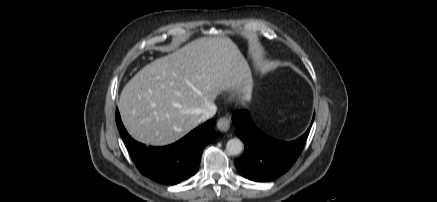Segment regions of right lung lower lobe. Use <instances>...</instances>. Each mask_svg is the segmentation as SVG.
Masks as SVG:
<instances>
[{
  "label": "right lung lower lobe",
  "instance_id": "obj_1",
  "mask_svg": "<svg viewBox=\"0 0 437 202\" xmlns=\"http://www.w3.org/2000/svg\"><path fill=\"white\" fill-rule=\"evenodd\" d=\"M116 123L139 171L156 182L175 185L197 172L204 146L214 140L216 120L207 121L181 140L165 147H147L133 140L121 122L118 109Z\"/></svg>",
  "mask_w": 437,
  "mask_h": 202
}]
</instances>
